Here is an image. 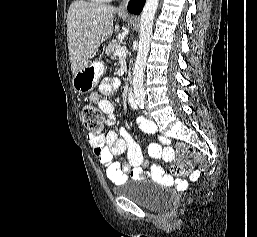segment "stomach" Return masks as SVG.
Listing matches in <instances>:
<instances>
[{"label": "stomach", "mask_w": 257, "mask_h": 237, "mask_svg": "<svg viewBox=\"0 0 257 237\" xmlns=\"http://www.w3.org/2000/svg\"><path fill=\"white\" fill-rule=\"evenodd\" d=\"M103 73L104 67L100 62L87 61L73 77L72 85L74 90L79 94L91 92L97 86Z\"/></svg>", "instance_id": "1"}]
</instances>
